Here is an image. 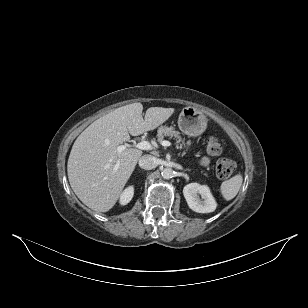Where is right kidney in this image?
Segmentation results:
<instances>
[{
  "label": "right kidney",
  "instance_id": "ca27d5eb",
  "mask_svg": "<svg viewBox=\"0 0 308 308\" xmlns=\"http://www.w3.org/2000/svg\"><path fill=\"white\" fill-rule=\"evenodd\" d=\"M133 194H134L133 186H129L128 188H126L123 194L121 195L120 204L126 205L127 203H129L133 197Z\"/></svg>",
  "mask_w": 308,
  "mask_h": 308
}]
</instances>
